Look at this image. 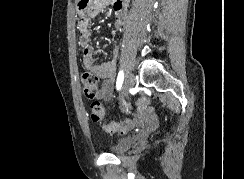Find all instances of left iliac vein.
Segmentation results:
<instances>
[{
	"mask_svg": "<svg viewBox=\"0 0 244 179\" xmlns=\"http://www.w3.org/2000/svg\"><path fill=\"white\" fill-rule=\"evenodd\" d=\"M134 85H135V76L132 72H129L126 76L124 86L122 88V93H123L124 98L129 97V90Z\"/></svg>",
	"mask_w": 244,
	"mask_h": 179,
	"instance_id": "4c4485c4",
	"label": "left iliac vein"
}]
</instances>
